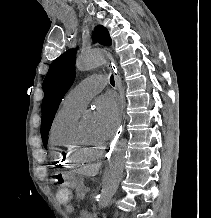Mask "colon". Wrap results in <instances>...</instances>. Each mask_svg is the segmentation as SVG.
<instances>
[{
	"mask_svg": "<svg viewBox=\"0 0 211 218\" xmlns=\"http://www.w3.org/2000/svg\"><path fill=\"white\" fill-rule=\"evenodd\" d=\"M56 199L62 205H69L73 201V194L70 188L66 185H59L56 189Z\"/></svg>",
	"mask_w": 211,
	"mask_h": 218,
	"instance_id": "obj_1",
	"label": "colon"
}]
</instances>
